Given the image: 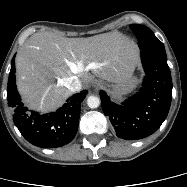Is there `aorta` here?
Returning a JSON list of instances; mask_svg holds the SVG:
<instances>
[{"mask_svg": "<svg viewBox=\"0 0 187 187\" xmlns=\"http://www.w3.org/2000/svg\"><path fill=\"white\" fill-rule=\"evenodd\" d=\"M87 105L89 108L94 109L99 107L100 98L98 96L91 95L87 98Z\"/></svg>", "mask_w": 187, "mask_h": 187, "instance_id": "762f6f07", "label": "aorta"}]
</instances>
